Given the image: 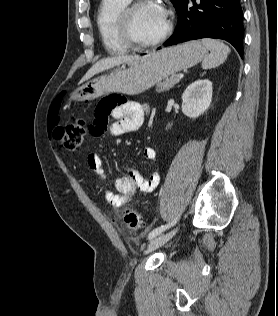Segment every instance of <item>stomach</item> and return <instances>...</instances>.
Wrapping results in <instances>:
<instances>
[{"mask_svg":"<svg viewBox=\"0 0 278 316\" xmlns=\"http://www.w3.org/2000/svg\"><path fill=\"white\" fill-rule=\"evenodd\" d=\"M206 53L207 48L200 41L154 51L85 83L71 93L69 100H93L112 92L142 93L170 75L196 65Z\"/></svg>","mask_w":278,"mask_h":316,"instance_id":"stomach-1","label":"stomach"}]
</instances>
